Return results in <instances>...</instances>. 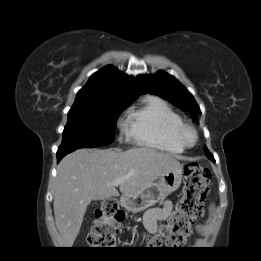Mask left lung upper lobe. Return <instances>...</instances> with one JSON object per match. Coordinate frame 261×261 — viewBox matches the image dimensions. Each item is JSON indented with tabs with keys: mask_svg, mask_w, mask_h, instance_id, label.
<instances>
[{
	"mask_svg": "<svg viewBox=\"0 0 261 261\" xmlns=\"http://www.w3.org/2000/svg\"><path fill=\"white\" fill-rule=\"evenodd\" d=\"M137 80L142 88L148 93L161 96L180 109L190 112L193 115L201 113L193 96L173 76L163 71H159L154 76L140 75L137 77ZM193 120L196 121L197 118L193 116ZM205 154L210 160L215 161L213 155L207 148H205Z\"/></svg>",
	"mask_w": 261,
	"mask_h": 261,
	"instance_id": "1",
	"label": "left lung upper lobe"
}]
</instances>
